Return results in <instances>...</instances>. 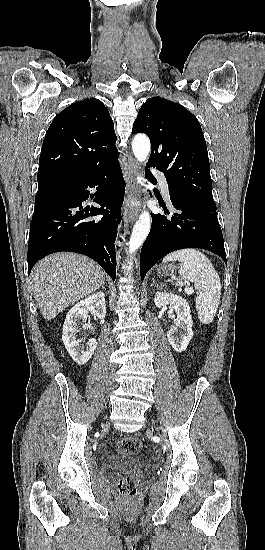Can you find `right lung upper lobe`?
<instances>
[{
  "instance_id": "cb5924a9",
  "label": "right lung upper lobe",
  "mask_w": 265,
  "mask_h": 550,
  "mask_svg": "<svg viewBox=\"0 0 265 550\" xmlns=\"http://www.w3.org/2000/svg\"><path fill=\"white\" fill-rule=\"evenodd\" d=\"M116 134L108 109L98 99L71 104L52 121L41 150L38 187L98 173L118 162Z\"/></svg>"
}]
</instances>
